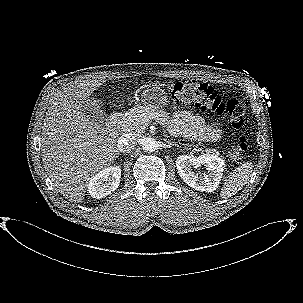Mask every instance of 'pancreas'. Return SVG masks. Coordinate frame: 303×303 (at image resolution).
Masks as SVG:
<instances>
[{"label": "pancreas", "mask_w": 303, "mask_h": 303, "mask_svg": "<svg viewBox=\"0 0 303 303\" xmlns=\"http://www.w3.org/2000/svg\"><path fill=\"white\" fill-rule=\"evenodd\" d=\"M161 124L163 127L171 125V119L167 112L164 110H154L146 107H136L127 112L121 119V128L124 132H141L152 121ZM196 151H202V149H195ZM208 154L218 156L219 152L215 149H207Z\"/></svg>", "instance_id": "1"}]
</instances>
